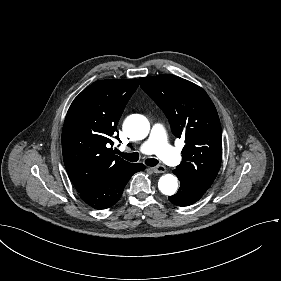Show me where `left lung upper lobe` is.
I'll list each match as a JSON object with an SVG mask.
<instances>
[{"instance_id":"obj_1","label":"left lung upper lobe","mask_w":281,"mask_h":281,"mask_svg":"<svg viewBox=\"0 0 281 281\" xmlns=\"http://www.w3.org/2000/svg\"><path fill=\"white\" fill-rule=\"evenodd\" d=\"M139 81L167 116L173 134L185 138L183 162L175 174L206 192L218 174L222 157L221 125L211 99L198 85L174 75Z\"/></svg>"}]
</instances>
